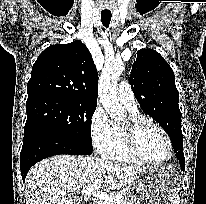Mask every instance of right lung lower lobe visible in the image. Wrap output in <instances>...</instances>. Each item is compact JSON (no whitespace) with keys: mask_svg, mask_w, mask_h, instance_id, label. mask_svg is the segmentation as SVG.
<instances>
[{"mask_svg":"<svg viewBox=\"0 0 206 204\" xmlns=\"http://www.w3.org/2000/svg\"><path fill=\"white\" fill-rule=\"evenodd\" d=\"M59 154L88 155L90 152L72 142L52 135H34L23 140L20 154V169L23 181L28 170L40 160Z\"/></svg>","mask_w":206,"mask_h":204,"instance_id":"98d812e1","label":"right lung lower lobe"}]
</instances>
